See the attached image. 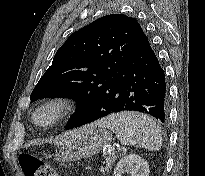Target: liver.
<instances>
[{"label":"liver","mask_w":205,"mask_h":176,"mask_svg":"<svg viewBox=\"0 0 205 176\" xmlns=\"http://www.w3.org/2000/svg\"><path fill=\"white\" fill-rule=\"evenodd\" d=\"M87 129V126H84L83 128L74 129L72 131H69L68 133H65L62 135L59 139L55 141L56 145L64 146L72 143L73 141L79 139L84 131Z\"/></svg>","instance_id":"obj_1"}]
</instances>
